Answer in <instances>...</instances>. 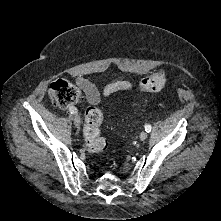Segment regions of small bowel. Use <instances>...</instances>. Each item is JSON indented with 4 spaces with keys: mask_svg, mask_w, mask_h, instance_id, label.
<instances>
[{
    "mask_svg": "<svg viewBox=\"0 0 221 221\" xmlns=\"http://www.w3.org/2000/svg\"><path fill=\"white\" fill-rule=\"evenodd\" d=\"M78 86L83 90L87 101L90 104H97L100 100V93L96 86L89 80L78 77L76 79ZM133 88L132 82L125 77H118L107 82L103 88V95L110 96L119 91H126Z\"/></svg>",
    "mask_w": 221,
    "mask_h": 221,
    "instance_id": "c3829d8e",
    "label": "small bowel"
}]
</instances>
